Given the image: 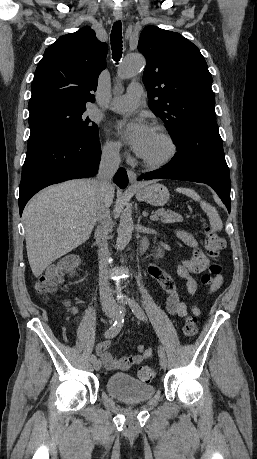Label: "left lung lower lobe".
Returning a JSON list of instances; mask_svg holds the SVG:
<instances>
[{
    "label": "left lung lower lobe",
    "mask_w": 257,
    "mask_h": 459,
    "mask_svg": "<svg viewBox=\"0 0 257 459\" xmlns=\"http://www.w3.org/2000/svg\"><path fill=\"white\" fill-rule=\"evenodd\" d=\"M175 144L177 155L168 165L147 172L138 180L161 178L208 184L216 191L230 213L229 169L216 120L189 126Z\"/></svg>",
    "instance_id": "left-lung-lower-lobe-1"
}]
</instances>
